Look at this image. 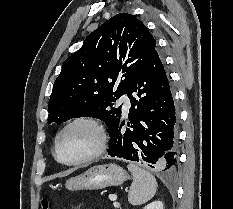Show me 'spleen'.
Listing matches in <instances>:
<instances>
[{
    "label": "spleen",
    "instance_id": "1",
    "mask_svg": "<svg viewBox=\"0 0 233 209\" xmlns=\"http://www.w3.org/2000/svg\"><path fill=\"white\" fill-rule=\"evenodd\" d=\"M128 170L133 175V182L128 194L129 203L136 206L148 202L157 190L155 177L133 163L128 164Z\"/></svg>",
    "mask_w": 233,
    "mask_h": 209
}]
</instances>
